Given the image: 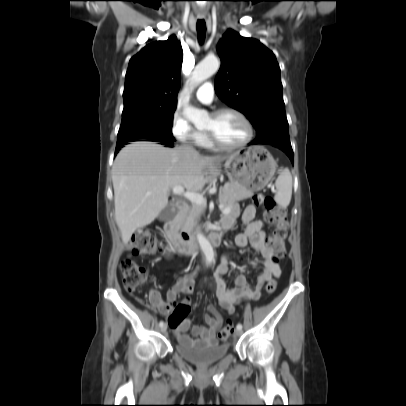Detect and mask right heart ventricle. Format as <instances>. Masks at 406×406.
<instances>
[{"label":"right heart ventricle","mask_w":406,"mask_h":406,"mask_svg":"<svg viewBox=\"0 0 406 406\" xmlns=\"http://www.w3.org/2000/svg\"><path fill=\"white\" fill-rule=\"evenodd\" d=\"M200 145L206 148H213L214 146L206 135H204Z\"/></svg>","instance_id":"obj_1"}]
</instances>
